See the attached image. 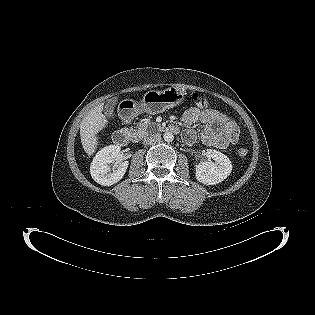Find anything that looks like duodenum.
I'll use <instances>...</instances> for the list:
<instances>
[{
  "label": "duodenum",
  "mask_w": 315,
  "mask_h": 315,
  "mask_svg": "<svg viewBox=\"0 0 315 315\" xmlns=\"http://www.w3.org/2000/svg\"><path fill=\"white\" fill-rule=\"evenodd\" d=\"M164 129L174 134H177L179 132V128L173 124L165 126ZM130 139H131V131L129 128H126V127L115 131L113 134L114 143L120 146H125L129 142Z\"/></svg>",
  "instance_id": "1"
}]
</instances>
